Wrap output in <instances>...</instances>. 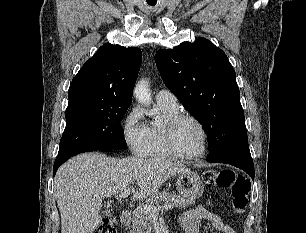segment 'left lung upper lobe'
<instances>
[{
  "label": "left lung upper lobe",
  "mask_w": 306,
  "mask_h": 233,
  "mask_svg": "<svg viewBox=\"0 0 306 233\" xmlns=\"http://www.w3.org/2000/svg\"><path fill=\"white\" fill-rule=\"evenodd\" d=\"M155 61L168 89L202 123L208 158L249 149L235 71L220 48L198 38L159 50Z\"/></svg>",
  "instance_id": "5c2ea615"
}]
</instances>
